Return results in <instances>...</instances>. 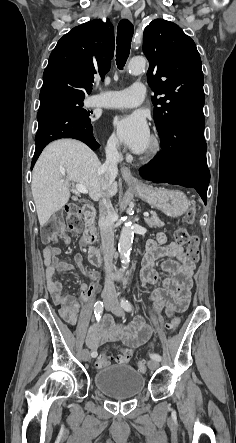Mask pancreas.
Masks as SVG:
<instances>
[{"mask_svg":"<svg viewBox=\"0 0 236 443\" xmlns=\"http://www.w3.org/2000/svg\"><path fill=\"white\" fill-rule=\"evenodd\" d=\"M145 222L151 228H160L164 226V223L159 218H157L155 213H153L150 218H145Z\"/></svg>","mask_w":236,"mask_h":443,"instance_id":"1","label":"pancreas"}]
</instances>
